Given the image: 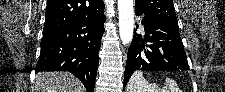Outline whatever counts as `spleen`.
I'll list each match as a JSON object with an SVG mask.
<instances>
[{"label":"spleen","mask_w":225,"mask_h":92,"mask_svg":"<svg viewBox=\"0 0 225 92\" xmlns=\"http://www.w3.org/2000/svg\"><path fill=\"white\" fill-rule=\"evenodd\" d=\"M127 92H180L177 83L166 78L163 87L155 83H149L144 77L142 71H135L127 84Z\"/></svg>","instance_id":"obj_1"}]
</instances>
